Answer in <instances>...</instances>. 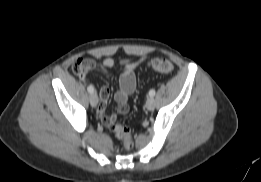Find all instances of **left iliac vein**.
Masks as SVG:
<instances>
[{
	"mask_svg": "<svg viewBox=\"0 0 261 182\" xmlns=\"http://www.w3.org/2000/svg\"><path fill=\"white\" fill-rule=\"evenodd\" d=\"M145 107L149 110L152 111L155 108V101L152 97H149L146 101Z\"/></svg>",
	"mask_w": 261,
	"mask_h": 182,
	"instance_id": "1",
	"label": "left iliac vein"
}]
</instances>
